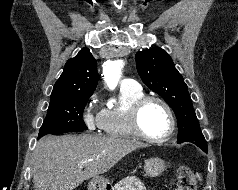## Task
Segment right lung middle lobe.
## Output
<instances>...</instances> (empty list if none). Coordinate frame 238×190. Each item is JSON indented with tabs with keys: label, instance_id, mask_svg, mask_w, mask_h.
Instances as JSON below:
<instances>
[{
	"label": "right lung middle lobe",
	"instance_id": "dd1d6c3e",
	"mask_svg": "<svg viewBox=\"0 0 238 190\" xmlns=\"http://www.w3.org/2000/svg\"><path fill=\"white\" fill-rule=\"evenodd\" d=\"M91 95H76L51 100L48 113L39 131V138L46 134L80 132L87 127L82 120L83 110Z\"/></svg>",
	"mask_w": 238,
	"mask_h": 190
}]
</instances>
